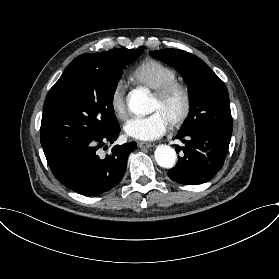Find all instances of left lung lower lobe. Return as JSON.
Masks as SVG:
<instances>
[{"label": "left lung lower lobe", "instance_id": "obj_1", "mask_svg": "<svg viewBox=\"0 0 279 279\" xmlns=\"http://www.w3.org/2000/svg\"><path fill=\"white\" fill-rule=\"evenodd\" d=\"M232 131L210 126L180 131L175 138L182 140L183 150L176 166L168 171V177L181 184L197 185L210 180L223 166Z\"/></svg>", "mask_w": 279, "mask_h": 279}]
</instances>
